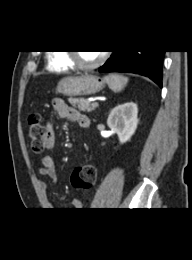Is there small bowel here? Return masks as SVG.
Listing matches in <instances>:
<instances>
[{"label": "small bowel", "mask_w": 192, "mask_h": 260, "mask_svg": "<svg viewBox=\"0 0 192 260\" xmlns=\"http://www.w3.org/2000/svg\"><path fill=\"white\" fill-rule=\"evenodd\" d=\"M51 104L58 117L70 119L82 127L85 122L89 124V119L85 115L69 106L63 99L53 98ZM46 129L49 137L48 148H52L55 143V132L50 122L47 123ZM38 173L42 177L51 179L53 183L57 182L56 167L52 157L48 155L43 157L42 166L38 169ZM39 185L41 190L45 193L47 189L45 181L40 180ZM72 206L76 210H81L85 207V202L80 199H74Z\"/></svg>", "instance_id": "small-bowel-1"}]
</instances>
